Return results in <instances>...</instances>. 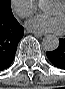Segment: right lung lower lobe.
Segmentation results:
<instances>
[{
    "instance_id": "98d812e1",
    "label": "right lung lower lobe",
    "mask_w": 65,
    "mask_h": 89,
    "mask_svg": "<svg viewBox=\"0 0 65 89\" xmlns=\"http://www.w3.org/2000/svg\"><path fill=\"white\" fill-rule=\"evenodd\" d=\"M24 28L15 17L0 11V71L8 68L16 53L17 45L24 36Z\"/></svg>"
}]
</instances>
